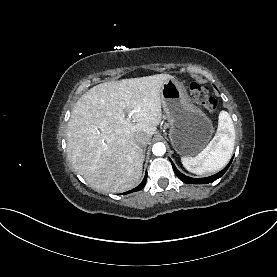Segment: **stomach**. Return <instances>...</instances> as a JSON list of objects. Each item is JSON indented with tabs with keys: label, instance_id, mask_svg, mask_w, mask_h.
I'll return each instance as SVG.
<instances>
[{
	"label": "stomach",
	"instance_id": "obj_1",
	"mask_svg": "<svg viewBox=\"0 0 277 277\" xmlns=\"http://www.w3.org/2000/svg\"><path fill=\"white\" fill-rule=\"evenodd\" d=\"M161 104L170 125L169 138L175 151L184 157L196 155L212 137L211 119L192 104L184 85L174 78L163 83Z\"/></svg>",
	"mask_w": 277,
	"mask_h": 277
}]
</instances>
